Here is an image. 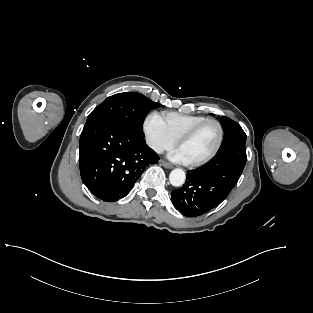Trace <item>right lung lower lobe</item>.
I'll return each instance as SVG.
<instances>
[{
    "mask_svg": "<svg viewBox=\"0 0 313 313\" xmlns=\"http://www.w3.org/2000/svg\"><path fill=\"white\" fill-rule=\"evenodd\" d=\"M158 155L144 134L108 119L85 125L79 143V166L84 184L97 198L113 202L125 197L146 166Z\"/></svg>",
    "mask_w": 313,
    "mask_h": 313,
    "instance_id": "right-lung-lower-lobe-1",
    "label": "right lung lower lobe"
}]
</instances>
